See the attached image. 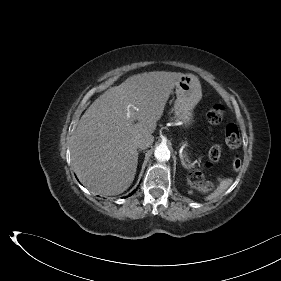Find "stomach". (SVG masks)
Here are the masks:
<instances>
[{
  "mask_svg": "<svg viewBox=\"0 0 281 281\" xmlns=\"http://www.w3.org/2000/svg\"><path fill=\"white\" fill-rule=\"evenodd\" d=\"M174 113L177 120L189 125L193 119V109L202 97L199 79L192 74H185L176 85Z\"/></svg>",
  "mask_w": 281,
  "mask_h": 281,
  "instance_id": "1",
  "label": "stomach"
}]
</instances>
